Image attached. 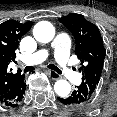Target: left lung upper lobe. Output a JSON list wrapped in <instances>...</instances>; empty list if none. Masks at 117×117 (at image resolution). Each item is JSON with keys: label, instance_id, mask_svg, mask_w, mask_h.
Segmentation results:
<instances>
[{"label": "left lung upper lobe", "instance_id": "5c2ea615", "mask_svg": "<svg viewBox=\"0 0 117 117\" xmlns=\"http://www.w3.org/2000/svg\"><path fill=\"white\" fill-rule=\"evenodd\" d=\"M73 34L76 41L75 53L84 65L79 69L83 72L82 84L92 97L98 87L106 50L99 29L87 21L81 14H69L59 18Z\"/></svg>", "mask_w": 117, "mask_h": 117}]
</instances>
